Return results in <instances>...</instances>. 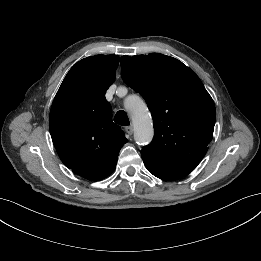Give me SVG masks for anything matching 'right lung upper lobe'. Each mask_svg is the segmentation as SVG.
<instances>
[{
    "label": "right lung upper lobe",
    "instance_id": "1",
    "mask_svg": "<svg viewBox=\"0 0 261 261\" xmlns=\"http://www.w3.org/2000/svg\"><path fill=\"white\" fill-rule=\"evenodd\" d=\"M117 55H96L77 62L64 78L51 107L50 133L62 162L91 181L109 176L128 141L113 123L105 99L115 80Z\"/></svg>",
    "mask_w": 261,
    "mask_h": 261
}]
</instances>
